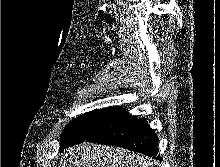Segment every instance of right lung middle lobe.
<instances>
[{"instance_id": "1", "label": "right lung middle lobe", "mask_w": 220, "mask_h": 167, "mask_svg": "<svg viewBox=\"0 0 220 167\" xmlns=\"http://www.w3.org/2000/svg\"><path fill=\"white\" fill-rule=\"evenodd\" d=\"M111 107L94 110L71 121L62 135L60 151L67 147L82 143L92 131L104 120Z\"/></svg>"}]
</instances>
